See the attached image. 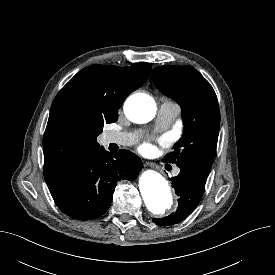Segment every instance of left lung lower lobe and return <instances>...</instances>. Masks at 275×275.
<instances>
[{
    "instance_id": "left-lung-lower-lobe-1",
    "label": "left lung lower lobe",
    "mask_w": 275,
    "mask_h": 275,
    "mask_svg": "<svg viewBox=\"0 0 275 275\" xmlns=\"http://www.w3.org/2000/svg\"><path fill=\"white\" fill-rule=\"evenodd\" d=\"M179 168V175L171 178L175 192L180 197L178 208L175 213L167 217L154 218L153 221L156 224L168 226L184 220L194 211L201 200L210 171L197 165H184Z\"/></svg>"
}]
</instances>
